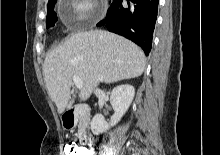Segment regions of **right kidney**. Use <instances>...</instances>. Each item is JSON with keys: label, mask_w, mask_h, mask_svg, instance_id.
<instances>
[{"label": "right kidney", "mask_w": 220, "mask_h": 155, "mask_svg": "<svg viewBox=\"0 0 220 155\" xmlns=\"http://www.w3.org/2000/svg\"><path fill=\"white\" fill-rule=\"evenodd\" d=\"M135 95V89L132 85L125 84L114 88L111 92L110 103L115 111L111 117V122L108 124L103 116L96 114L91 121V130L93 134L99 135L115 126L131 105Z\"/></svg>", "instance_id": "ca27d5eb"}]
</instances>
